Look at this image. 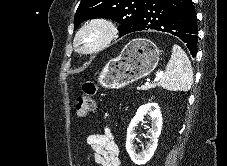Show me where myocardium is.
Listing matches in <instances>:
<instances>
[{"mask_svg":"<svg viewBox=\"0 0 227 166\" xmlns=\"http://www.w3.org/2000/svg\"><path fill=\"white\" fill-rule=\"evenodd\" d=\"M93 31L98 33L97 39L91 45L83 46L82 38ZM118 33V27L112 20L104 17L91 18L77 30L73 39V46L82 54H95L110 45L116 39Z\"/></svg>","mask_w":227,"mask_h":166,"instance_id":"1","label":"myocardium"}]
</instances>
